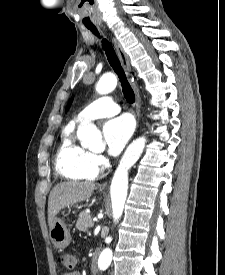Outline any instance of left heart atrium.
<instances>
[{
	"label": "left heart atrium",
	"mask_w": 225,
	"mask_h": 275,
	"mask_svg": "<svg viewBox=\"0 0 225 275\" xmlns=\"http://www.w3.org/2000/svg\"><path fill=\"white\" fill-rule=\"evenodd\" d=\"M134 130L132 119L121 115L107 121L103 127V134L110 155H118L124 148Z\"/></svg>",
	"instance_id": "1"
}]
</instances>
